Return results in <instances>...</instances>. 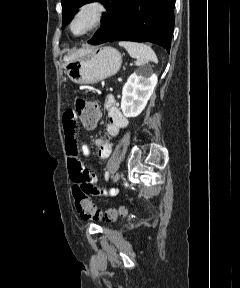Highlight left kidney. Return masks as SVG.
I'll return each mask as SVG.
<instances>
[{
  "label": "left kidney",
  "instance_id": "5707ae66",
  "mask_svg": "<svg viewBox=\"0 0 240 288\" xmlns=\"http://www.w3.org/2000/svg\"><path fill=\"white\" fill-rule=\"evenodd\" d=\"M158 78L150 68L130 75L122 89L121 110L125 117H137L150 99Z\"/></svg>",
  "mask_w": 240,
  "mask_h": 288
}]
</instances>
